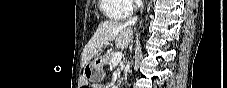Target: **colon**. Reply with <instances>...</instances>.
<instances>
[{"label":"colon","mask_w":227,"mask_h":88,"mask_svg":"<svg viewBox=\"0 0 227 88\" xmlns=\"http://www.w3.org/2000/svg\"><path fill=\"white\" fill-rule=\"evenodd\" d=\"M83 88H88L89 86L87 84L83 85L82 86Z\"/></svg>","instance_id":"obj_1"}]
</instances>
